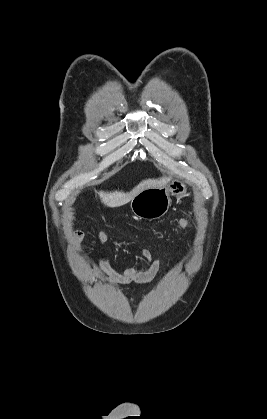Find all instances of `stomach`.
Returning a JSON list of instances; mask_svg holds the SVG:
<instances>
[{"label": "stomach", "mask_w": 267, "mask_h": 419, "mask_svg": "<svg viewBox=\"0 0 267 419\" xmlns=\"http://www.w3.org/2000/svg\"><path fill=\"white\" fill-rule=\"evenodd\" d=\"M170 195L177 199L187 196V184L180 179L171 178L162 186L145 189L132 198L131 210L142 219H159L167 213L171 205Z\"/></svg>", "instance_id": "obj_1"}]
</instances>
